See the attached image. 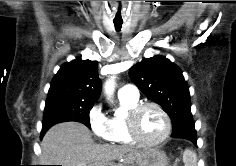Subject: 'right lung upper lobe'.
<instances>
[{
  "mask_svg": "<svg viewBox=\"0 0 236 166\" xmlns=\"http://www.w3.org/2000/svg\"><path fill=\"white\" fill-rule=\"evenodd\" d=\"M101 91L98 62L77 58L60 67L53 78L48 98H74L95 102Z\"/></svg>",
  "mask_w": 236,
  "mask_h": 166,
  "instance_id": "1",
  "label": "right lung upper lobe"
}]
</instances>
